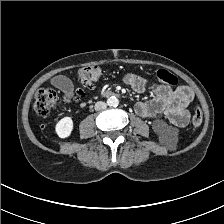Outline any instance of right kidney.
Returning <instances> with one entry per match:
<instances>
[{
    "instance_id": "right-kidney-1",
    "label": "right kidney",
    "mask_w": 224,
    "mask_h": 224,
    "mask_svg": "<svg viewBox=\"0 0 224 224\" xmlns=\"http://www.w3.org/2000/svg\"><path fill=\"white\" fill-rule=\"evenodd\" d=\"M73 130V120L71 117H64L56 124L55 131L60 138H67Z\"/></svg>"
}]
</instances>
